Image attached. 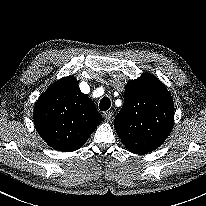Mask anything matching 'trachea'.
<instances>
[{
	"label": "trachea",
	"mask_w": 206,
	"mask_h": 206,
	"mask_svg": "<svg viewBox=\"0 0 206 206\" xmlns=\"http://www.w3.org/2000/svg\"><path fill=\"white\" fill-rule=\"evenodd\" d=\"M111 106V100L108 97H103L100 101L99 108L101 111H107Z\"/></svg>",
	"instance_id": "obj_1"
}]
</instances>
